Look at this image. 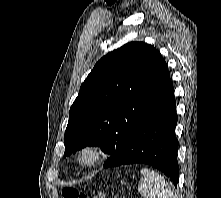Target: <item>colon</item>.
<instances>
[{"instance_id":"obj_1","label":"colon","mask_w":221,"mask_h":198,"mask_svg":"<svg viewBox=\"0 0 221 198\" xmlns=\"http://www.w3.org/2000/svg\"><path fill=\"white\" fill-rule=\"evenodd\" d=\"M63 198H104V194L100 191H95L93 195H86L75 188L67 187L62 191Z\"/></svg>"}]
</instances>
